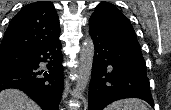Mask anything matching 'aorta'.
<instances>
[{"label":"aorta","instance_id":"1","mask_svg":"<svg viewBox=\"0 0 171 110\" xmlns=\"http://www.w3.org/2000/svg\"><path fill=\"white\" fill-rule=\"evenodd\" d=\"M95 47L91 37H86L81 45L79 67L76 80V97H80L90 80Z\"/></svg>","mask_w":171,"mask_h":110}]
</instances>
